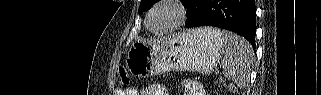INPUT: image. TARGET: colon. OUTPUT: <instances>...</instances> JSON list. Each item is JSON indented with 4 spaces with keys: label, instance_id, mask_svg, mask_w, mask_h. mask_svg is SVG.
Listing matches in <instances>:
<instances>
[{
    "label": "colon",
    "instance_id": "1",
    "mask_svg": "<svg viewBox=\"0 0 321 95\" xmlns=\"http://www.w3.org/2000/svg\"><path fill=\"white\" fill-rule=\"evenodd\" d=\"M117 79L122 86H128L130 83V75L126 68L119 67L117 69Z\"/></svg>",
    "mask_w": 321,
    "mask_h": 95
}]
</instances>
